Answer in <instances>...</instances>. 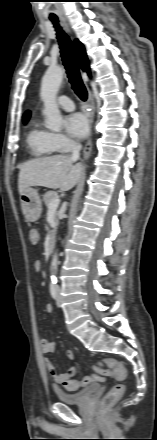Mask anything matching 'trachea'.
Segmentation results:
<instances>
[{
	"label": "trachea",
	"mask_w": 157,
	"mask_h": 440,
	"mask_svg": "<svg viewBox=\"0 0 157 440\" xmlns=\"http://www.w3.org/2000/svg\"><path fill=\"white\" fill-rule=\"evenodd\" d=\"M51 21L54 24V27L57 31V39L60 46L61 57L63 64L66 68L67 76L69 78V82L72 85V89L76 93V95L83 101L87 99V90L83 84L78 63L74 54L72 42L69 37L64 33L62 28L58 23L57 18H51Z\"/></svg>",
	"instance_id": "1"
}]
</instances>
